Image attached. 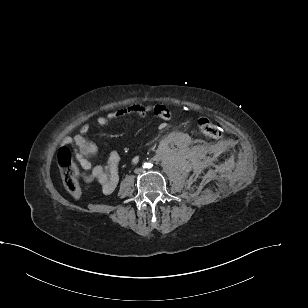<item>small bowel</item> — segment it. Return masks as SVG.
Masks as SVG:
<instances>
[{
	"label": "small bowel",
	"mask_w": 308,
	"mask_h": 308,
	"mask_svg": "<svg viewBox=\"0 0 308 308\" xmlns=\"http://www.w3.org/2000/svg\"><path fill=\"white\" fill-rule=\"evenodd\" d=\"M149 114H153L156 117L163 120L160 124V128H165L166 122L170 120V111L164 105L159 104H132L130 106L121 108L119 110L108 113L107 115L100 116L97 119V123L100 126H107L112 121L122 118L128 115H137L140 117H146ZM89 125L84 124L81 126L79 132L73 137H67L63 140V145H73L76 148V158L83 169V178L89 184L98 183L102 185L105 193H112L119 181V164L120 156L117 152L110 153L107 163L104 166H94L91 162V158L97 153V146L91 140L88 139L87 134L89 132ZM188 140V135L183 132H172L168 134L162 144L167 146L169 144H175L177 146L184 145ZM136 159L133 160L136 163Z\"/></svg>",
	"instance_id": "obj_1"
}]
</instances>
